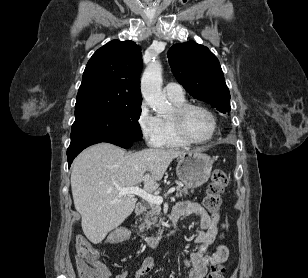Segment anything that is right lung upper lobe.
<instances>
[{
  "instance_id": "cb5924a9",
  "label": "right lung upper lobe",
  "mask_w": 308,
  "mask_h": 278,
  "mask_svg": "<svg viewBox=\"0 0 308 278\" xmlns=\"http://www.w3.org/2000/svg\"><path fill=\"white\" fill-rule=\"evenodd\" d=\"M142 54L132 41L113 40L98 49L86 65L75 115L142 104Z\"/></svg>"
}]
</instances>
